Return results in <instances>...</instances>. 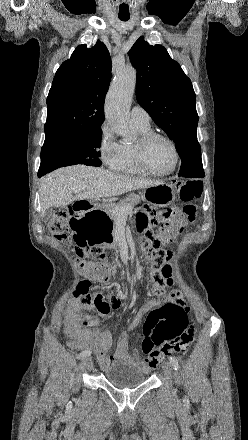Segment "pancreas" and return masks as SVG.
Returning <instances> with one entry per match:
<instances>
[{
    "instance_id": "cf45deb5",
    "label": "pancreas",
    "mask_w": 248,
    "mask_h": 440,
    "mask_svg": "<svg viewBox=\"0 0 248 440\" xmlns=\"http://www.w3.org/2000/svg\"><path fill=\"white\" fill-rule=\"evenodd\" d=\"M140 202V197L134 193L128 194L127 197L123 200H121V202L119 204H115L110 206L107 209V214L112 218V220L116 223L118 220V217L113 213V209L118 208V209H123L126 208L127 206L130 207V211L129 213L132 211V209L134 208L135 205H137Z\"/></svg>"
}]
</instances>
